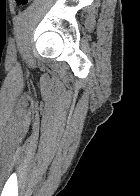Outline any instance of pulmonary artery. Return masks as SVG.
<instances>
[{"instance_id":"pulmonary-artery-1","label":"pulmonary artery","mask_w":140,"mask_h":196,"mask_svg":"<svg viewBox=\"0 0 140 196\" xmlns=\"http://www.w3.org/2000/svg\"><path fill=\"white\" fill-rule=\"evenodd\" d=\"M39 192H52V191H39Z\"/></svg>"}]
</instances>
